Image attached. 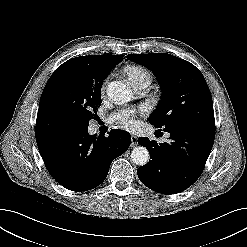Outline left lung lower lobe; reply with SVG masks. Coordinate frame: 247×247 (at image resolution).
<instances>
[{
	"mask_svg": "<svg viewBox=\"0 0 247 247\" xmlns=\"http://www.w3.org/2000/svg\"><path fill=\"white\" fill-rule=\"evenodd\" d=\"M170 142L158 144L141 137L149 162L138 168L140 181L161 194H175L190 187L201 175L211 152L215 132L202 129L169 131Z\"/></svg>",
	"mask_w": 247,
	"mask_h": 247,
	"instance_id": "left-lung-lower-lobe-1",
	"label": "left lung lower lobe"
}]
</instances>
